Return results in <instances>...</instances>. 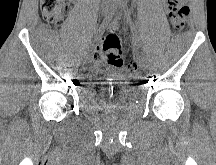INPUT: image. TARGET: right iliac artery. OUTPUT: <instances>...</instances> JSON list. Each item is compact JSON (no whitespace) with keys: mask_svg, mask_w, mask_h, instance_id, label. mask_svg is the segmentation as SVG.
Wrapping results in <instances>:
<instances>
[{"mask_svg":"<svg viewBox=\"0 0 216 165\" xmlns=\"http://www.w3.org/2000/svg\"><path fill=\"white\" fill-rule=\"evenodd\" d=\"M113 3L111 4L109 12L105 15L103 21L97 27L94 33V39H91L90 42L87 44L84 55L88 56L90 54L91 45L98 41L101 36L103 35L105 29L107 28L109 22L111 21L116 9H117V2L116 0H112Z\"/></svg>","mask_w":216,"mask_h":165,"instance_id":"1","label":"right iliac artery"}]
</instances>
